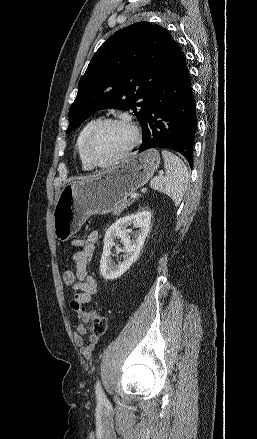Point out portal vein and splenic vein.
I'll return each mask as SVG.
<instances>
[{"label":"portal vein and splenic vein","instance_id":"obj_1","mask_svg":"<svg viewBox=\"0 0 257 439\" xmlns=\"http://www.w3.org/2000/svg\"><path fill=\"white\" fill-rule=\"evenodd\" d=\"M137 196H138L137 193H132V194L130 195L131 199H135Z\"/></svg>","mask_w":257,"mask_h":439}]
</instances>
